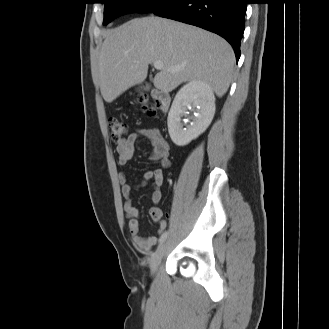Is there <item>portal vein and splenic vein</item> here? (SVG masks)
I'll return each mask as SVG.
<instances>
[{"instance_id": "18ae733b", "label": "portal vein and splenic vein", "mask_w": 329, "mask_h": 329, "mask_svg": "<svg viewBox=\"0 0 329 329\" xmlns=\"http://www.w3.org/2000/svg\"><path fill=\"white\" fill-rule=\"evenodd\" d=\"M153 65H154V68L157 69V70H162L164 68V65H163L162 61H155L153 63ZM171 71L175 72V71H177V69H172Z\"/></svg>"}]
</instances>
